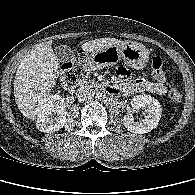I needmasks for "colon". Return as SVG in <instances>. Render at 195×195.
<instances>
[{
    "mask_svg": "<svg viewBox=\"0 0 195 195\" xmlns=\"http://www.w3.org/2000/svg\"><path fill=\"white\" fill-rule=\"evenodd\" d=\"M151 69L154 78L158 81H165L166 76L163 71V60L160 56L156 55L152 58ZM86 75V62L85 57L81 56L71 63L63 66L60 80L62 84L71 86L84 78ZM171 100L179 102L182 99V92L178 87H172L169 92Z\"/></svg>",
    "mask_w": 195,
    "mask_h": 195,
    "instance_id": "1",
    "label": "colon"
}]
</instances>
